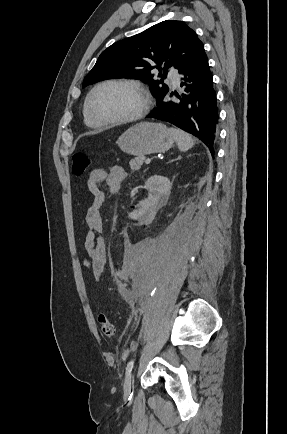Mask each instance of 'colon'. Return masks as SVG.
<instances>
[{"label":"colon","mask_w":287,"mask_h":434,"mask_svg":"<svg viewBox=\"0 0 287 434\" xmlns=\"http://www.w3.org/2000/svg\"><path fill=\"white\" fill-rule=\"evenodd\" d=\"M90 166V159L86 153L78 152L72 157V172L76 176H83ZM100 330L103 336L111 338L115 336L116 329L113 322L105 315L98 317Z\"/></svg>","instance_id":"1"}]
</instances>
